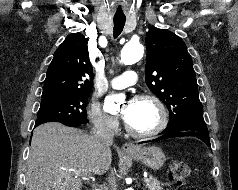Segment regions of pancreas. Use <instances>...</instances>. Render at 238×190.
<instances>
[{
    "mask_svg": "<svg viewBox=\"0 0 238 190\" xmlns=\"http://www.w3.org/2000/svg\"><path fill=\"white\" fill-rule=\"evenodd\" d=\"M162 186L163 184L160 183V181H158L155 178H150L149 183H147V187L149 190H164ZM99 190H102V189H99Z\"/></svg>",
    "mask_w": 238,
    "mask_h": 190,
    "instance_id": "pancreas-1",
    "label": "pancreas"
}]
</instances>
